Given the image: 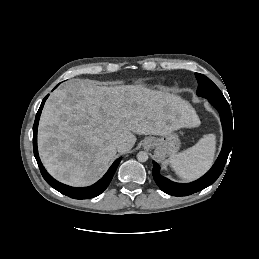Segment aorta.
Listing matches in <instances>:
<instances>
[{
  "label": "aorta",
  "mask_w": 259,
  "mask_h": 259,
  "mask_svg": "<svg viewBox=\"0 0 259 259\" xmlns=\"http://www.w3.org/2000/svg\"><path fill=\"white\" fill-rule=\"evenodd\" d=\"M137 159L138 161L140 162H146L148 160V153L145 152V151H140L138 154H137Z\"/></svg>",
  "instance_id": "762f6f07"
}]
</instances>
